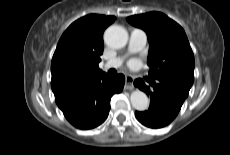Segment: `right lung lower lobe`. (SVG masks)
Masks as SVG:
<instances>
[{"label": "right lung lower lobe", "mask_w": 230, "mask_h": 155, "mask_svg": "<svg viewBox=\"0 0 230 155\" xmlns=\"http://www.w3.org/2000/svg\"><path fill=\"white\" fill-rule=\"evenodd\" d=\"M125 77H110L103 73L95 78L54 92L55 101L66 119L79 129H92L105 121L110 110V99L120 93Z\"/></svg>", "instance_id": "obj_1"}]
</instances>
